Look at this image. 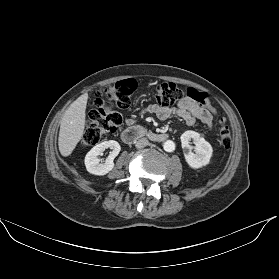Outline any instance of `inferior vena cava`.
<instances>
[{"instance_id": "obj_1", "label": "inferior vena cava", "mask_w": 279, "mask_h": 279, "mask_svg": "<svg viewBox=\"0 0 279 279\" xmlns=\"http://www.w3.org/2000/svg\"><path fill=\"white\" fill-rule=\"evenodd\" d=\"M148 144H149L148 139L143 137V138H140L136 141L135 146H136V148H144Z\"/></svg>"}]
</instances>
